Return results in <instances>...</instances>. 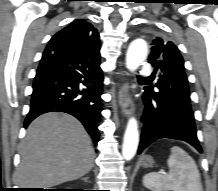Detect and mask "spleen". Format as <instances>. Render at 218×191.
<instances>
[{
    "label": "spleen",
    "instance_id": "1",
    "mask_svg": "<svg viewBox=\"0 0 218 191\" xmlns=\"http://www.w3.org/2000/svg\"><path fill=\"white\" fill-rule=\"evenodd\" d=\"M167 160L168 174L151 172L143 177V185L151 191H203L200 173L193 158L174 146Z\"/></svg>",
    "mask_w": 218,
    "mask_h": 191
}]
</instances>
